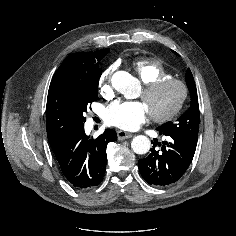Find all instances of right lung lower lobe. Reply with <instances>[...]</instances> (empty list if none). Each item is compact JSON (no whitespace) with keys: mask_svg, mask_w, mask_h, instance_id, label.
Returning a JSON list of instances; mask_svg holds the SVG:
<instances>
[{"mask_svg":"<svg viewBox=\"0 0 236 236\" xmlns=\"http://www.w3.org/2000/svg\"><path fill=\"white\" fill-rule=\"evenodd\" d=\"M117 134L106 129L96 139H89L84 126L77 127L65 143L54 151L59 168L67 181L76 189L97 186L105 174L108 143L116 141Z\"/></svg>","mask_w":236,"mask_h":236,"instance_id":"obj_1","label":"right lung lower lobe"}]
</instances>
